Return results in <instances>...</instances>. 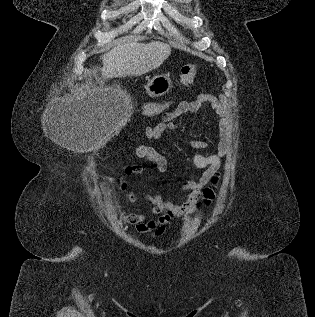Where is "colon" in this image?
Returning <instances> with one entry per match:
<instances>
[{"instance_id": "1", "label": "colon", "mask_w": 315, "mask_h": 317, "mask_svg": "<svg viewBox=\"0 0 315 317\" xmlns=\"http://www.w3.org/2000/svg\"><path fill=\"white\" fill-rule=\"evenodd\" d=\"M197 70H198L197 66L194 64H190V65L185 66L182 69V73L180 76L181 85L186 86V85L190 84L194 80V78L197 74ZM168 104H169L168 101L158 103V104H153V105L149 106L148 108H146L145 113L149 116L155 115V114L159 113L162 109H164L166 106H168Z\"/></svg>"}]
</instances>
